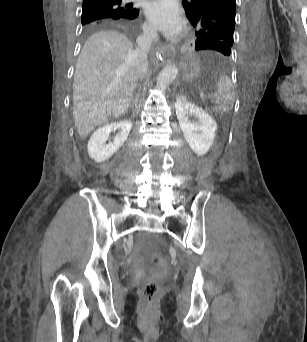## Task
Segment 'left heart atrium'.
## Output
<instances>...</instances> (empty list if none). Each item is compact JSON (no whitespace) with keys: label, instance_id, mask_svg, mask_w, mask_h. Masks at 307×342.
I'll list each match as a JSON object with an SVG mask.
<instances>
[{"label":"left heart atrium","instance_id":"39dd6f15","mask_svg":"<svg viewBox=\"0 0 307 342\" xmlns=\"http://www.w3.org/2000/svg\"><path fill=\"white\" fill-rule=\"evenodd\" d=\"M149 27L169 39H174L184 32V22L178 14L176 5L171 1H154L145 9Z\"/></svg>","mask_w":307,"mask_h":342}]
</instances>
